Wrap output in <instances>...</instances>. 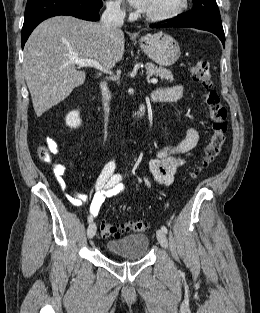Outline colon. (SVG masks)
<instances>
[{"instance_id":"5ec220e1","label":"colon","mask_w":260,"mask_h":313,"mask_svg":"<svg viewBox=\"0 0 260 313\" xmlns=\"http://www.w3.org/2000/svg\"><path fill=\"white\" fill-rule=\"evenodd\" d=\"M191 76L205 90L204 101L208 108L211 135L206 145L203 156V167H209L219 156L225 142L227 132V110L221 103L218 92L213 88L209 62L198 60L191 68ZM56 144L50 141L39 149V156L42 160L49 162L56 152ZM194 172L193 175H196ZM147 224L143 221H127L122 224H111L102 222L100 234L102 237H119L124 233L143 232Z\"/></svg>"}]
</instances>
